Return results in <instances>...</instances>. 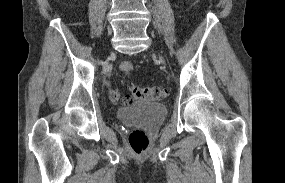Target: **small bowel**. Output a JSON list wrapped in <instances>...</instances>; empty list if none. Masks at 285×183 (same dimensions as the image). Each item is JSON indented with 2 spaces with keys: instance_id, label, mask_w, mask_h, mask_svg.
Returning a JSON list of instances; mask_svg holds the SVG:
<instances>
[{
  "instance_id": "small-bowel-1",
  "label": "small bowel",
  "mask_w": 285,
  "mask_h": 183,
  "mask_svg": "<svg viewBox=\"0 0 285 183\" xmlns=\"http://www.w3.org/2000/svg\"><path fill=\"white\" fill-rule=\"evenodd\" d=\"M109 94L113 98H111L112 101L117 102L120 99V93L117 89L114 88H109Z\"/></svg>"
}]
</instances>
